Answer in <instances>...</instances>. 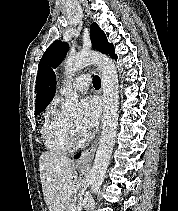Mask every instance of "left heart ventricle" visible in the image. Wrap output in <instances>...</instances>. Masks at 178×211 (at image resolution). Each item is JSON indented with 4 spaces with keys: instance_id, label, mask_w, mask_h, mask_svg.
<instances>
[{
    "instance_id": "obj_1",
    "label": "left heart ventricle",
    "mask_w": 178,
    "mask_h": 211,
    "mask_svg": "<svg viewBox=\"0 0 178 211\" xmlns=\"http://www.w3.org/2000/svg\"><path fill=\"white\" fill-rule=\"evenodd\" d=\"M71 122H72L73 124H75V123L77 122V119H76V118L71 119ZM79 133H80V132H79ZM80 135H81V137H84L82 133H80Z\"/></svg>"
}]
</instances>
